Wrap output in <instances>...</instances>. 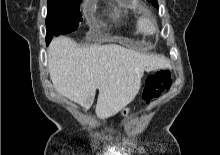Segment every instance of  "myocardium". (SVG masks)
I'll return each mask as SVG.
<instances>
[{"mask_svg": "<svg viewBox=\"0 0 220 155\" xmlns=\"http://www.w3.org/2000/svg\"><path fill=\"white\" fill-rule=\"evenodd\" d=\"M147 22H150L153 26L152 31H148L146 28ZM137 27L141 33L144 35H154L158 32L159 27L156 19L149 12H144L137 18Z\"/></svg>", "mask_w": 220, "mask_h": 155, "instance_id": "f54148a6", "label": "myocardium"}]
</instances>
